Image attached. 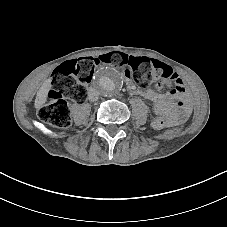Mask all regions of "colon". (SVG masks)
I'll use <instances>...</instances> for the list:
<instances>
[{
  "instance_id": "colon-1",
  "label": "colon",
  "mask_w": 227,
  "mask_h": 227,
  "mask_svg": "<svg viewBox=\"0 0 227 227\" xmlns=\"http://www.w3.org/2000/svg\"><path fill=\"white\" fill-rule=\"evenodd\" d=\"M106 64L123 69L127 77L133 78L143 88L155 83L160 87H167L171 95L184 91L183 81L178 74L161 61L118 52L103 54L97 58L82 57L66 61L55 69L51 77L48 102L39 109V118L57 128L69 127L71 115L66 99L83 102L95 68ZM152 126L162 129L168 126V122L163 117L156 116L152 119Z\"/></svg>"
}]
</instances>
